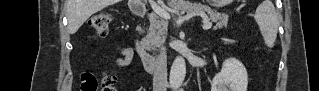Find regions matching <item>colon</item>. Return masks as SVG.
I'll return each instance as SVG.
<instances>
[{"label":"colon","mask_w":319,"mask_h":91,"mask_svg":"<svg viewBox=\"0 0 319 91\" xmlns=\"http://www.w3.org/2000/svg\"><path fill=\"white\" fill-rule=\"evenodd\" d=\"M112 16L107 12H99L94 14L89 19V26L93 31L103 36L108 33ZM115 79L110 75H104L100 82L90 74H85L81 78V91H96L101 87V90L111 91L114 89Z\"/></svg>","instance_id":"5ec220e1"}]
</instances>
